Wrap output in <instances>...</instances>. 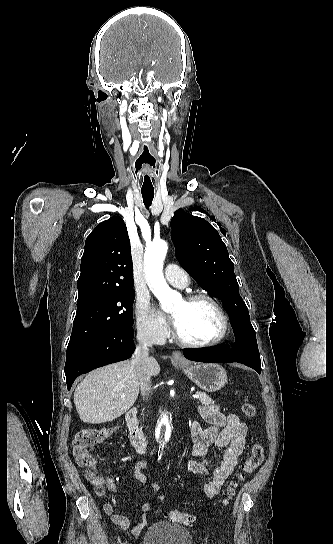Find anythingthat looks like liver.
Returning a JSON list of instances; mask_svg holds the SVG:
<instances>
[{"label":"liver","mask_w":333,"mask_h":544,"mask_svg":"<svg viewBox=\"0 0 333 544\" xmlns=\"http://www.w3.org/2000/svg\"><path fill=\"white\" fill-rule=\"evenodd\" d=\"M148 370L151 376L159 374L160 366L154 358L149 359ZM139 389L133 361H122L90 372L77 386L74 403L83 422L106 423L133 406Z\"/></svg>","instance_id":"6515ba94"}]
</instances>
